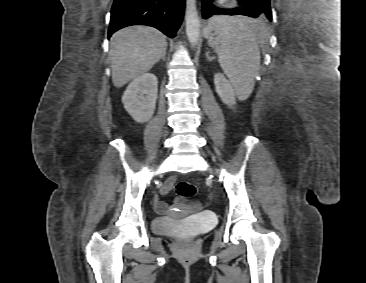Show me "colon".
Returning a JSON list of instances; mask_svg holds the SVG:
<instances>
[{
	"instance_id": "1",
	"label": "colon",
	"mask_w": 366,
	"mask_h": 283,
	"mask_svg": "<svg viewBox=\"0 0 366 283\" xmlns=\"http://www.w3.org/2000/svg\"><path fill=\"white\" fill-rule=\"evenodd\" d=\"M176 193L182 199H191L196 194V188L190 182L180 181L176 185Z\"/></svg>"
}]
</instances>
